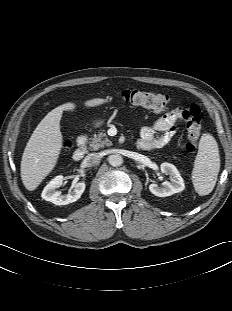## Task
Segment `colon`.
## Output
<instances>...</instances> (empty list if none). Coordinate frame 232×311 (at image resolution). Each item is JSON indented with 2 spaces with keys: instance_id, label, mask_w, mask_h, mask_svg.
Returning a JSON list of instances; mask_svg holds the SVG:
<instances>
[{
  "instance_id": "1",
  "label": "colon",
  "mask_w": 232,
  "mask_h": 311,
  "mask_svg": "<svg viewBox=\"0 0 232 311\" xmlns=\"http://www.w3.org/2000/svg\"><path fill=\"white\" fill-rule=\"evenodd\" d=\"M120 98L131 105L143 107L154 112H163L167 109L170 99L167 95L141 90H124ZM182 118L186 124L188 142L186 150L189 153L196 151L198 139L200 137V108L192 104L185 108ZM65 151L70 149V145L64 146Z\"/></svg>"
}]
</instances>
